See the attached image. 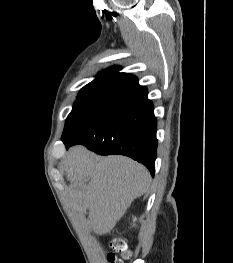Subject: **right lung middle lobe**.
I'll use <instances>...</instances> for the list:
<instances>
[{"mask_svg":"<svg viewBox=\"0 0 233 263\" xmlns=\"http://www.w3.org/2000/svg\"><path fill=\"white\" fill-rule=\"evenodd\" d=\"M118 96L79 95L65 123L62 141L73 140L92 127Z\"/></svg>","mask_w":233,"mask_h":263,"instance_id":"dd1d6c3e","label":"right lung middle lobe"}]
</instances>
